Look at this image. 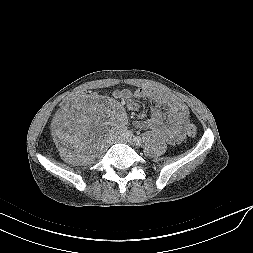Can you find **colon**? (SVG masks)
Returning <instances> with one entry per match:
<instances>
[{
    "instance_id": "1",
    "label": "colon",
    "mask_w": 253,
    "mask_h": 253,
    "mask_svg": "<svg viewBox=\"0 0 253 253\" xmlns=\"http://www.w3.org/2000/svg\"><path fill=\"white\" fill-rule=\"evenodd\" d=\"M94 96V91L93 90H80L74 92L69 98L66 99L61 104V110L62 111H67L78 99L81 97H93ZM186 133L188 136H195L197 133V128L193 124H189L186 128Z\"/></svg>"
}]
</instances>
